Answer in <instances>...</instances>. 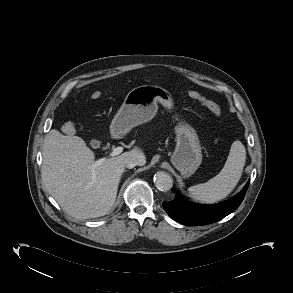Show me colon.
I'll return each mask as SVG.
<instances>
[{"mask_svg":"<svg viewBox=\"0 0 293 293\" xmlns=\"http://www.w3.org/2000/svg\"><path fill=\"white\" fill-rule=\"evenodd\" d=\"M188 96L191 99H194L198 102H200L204 107H206L211 113H213L215 116H220L222 113L221 107L215 103L214 101L208 99L207 97L203 96L201 93L190 90L188 92ZM101 97V92L100 91H94L91 94L92 99H98ZM62 131L65 134H71L74 132V126L72 123L67 122L62 126Z\"/></svg>","mask_w":293,"mask_h":293,"instance_id":"5ec220e1","label":"colon"}]
</instances>
